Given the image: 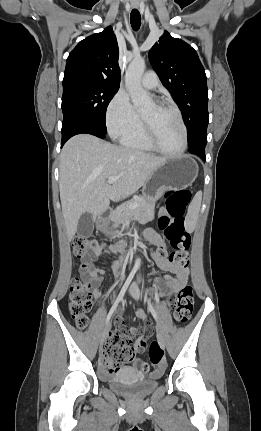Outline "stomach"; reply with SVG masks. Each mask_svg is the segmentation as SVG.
Returning <instances> with one entry per match:
<instances>
[{"label":"stomach","instance_id":"0dacf381","mask_svg":"<svg viewBox=\"0 0 261 431\" xmlns=\"http://www.w3.org/2000/svg\"><path fill=\"white\" fill-rule=\"evenodd\" d=\"M197 175L198 164L190 156L167 158L145 182L143 187L144 198L155 201L167 190L187 188L192 185ZM101 230L111 233L113 228L105 221Z\"/></svg>","mask_w":261,"mask_h":431}]
</instances>
